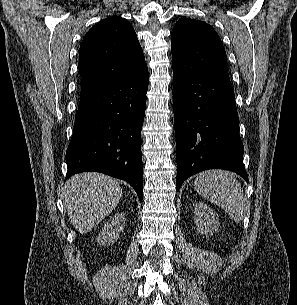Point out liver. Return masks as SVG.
<instances>
[{"label": "liver", "mask_w": 297, "mask_h": 305, "mask_svg": "<svg viewBox=\"0 0 297 305\" xmlns=\"http://www.w3.org/2000/svg\"><path fill=\"white\" fill-rule=\"evenodd\" d=\"M63 197L72 225L83 234L115 209L122 197V188L114 178L86 172L66 182Z\"/></svg>", "instance_id": "6515ba94"}]
</instances>
